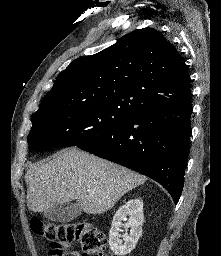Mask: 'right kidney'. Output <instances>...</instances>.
<instances>
[{"label": "right kidney", "instance_id": "right-kidney-1", "mask_svg": "<svg viewBox=\"0 0 221 256\" xmlns=\"http://www.w3.org/2000/svg\"><path fill=\"white\" fill-rule=\"evenodd\" d=\"M127 216H129L128 222L123 224L122 222L127 220ZM143 221V202L139 198L129 200L118 209L113 217L108 241L110 249L115 255L125 256L136 247L138 239L142 235ZM122 226L126 230L130 228V234L125 233L121 236L120 232L122 230L120 228ZM121 237L123 240L120 239Z\"/></svg>", "mask_w": 221, "mask_h": 256}]
</instances>
